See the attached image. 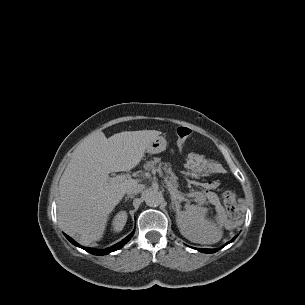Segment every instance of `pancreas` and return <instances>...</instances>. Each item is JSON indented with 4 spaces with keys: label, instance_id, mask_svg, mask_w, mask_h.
Instances as JSON below:
<instances>
[{
    "label": "pancreas",
    "instance_id": "obj_1",
    "mask_svg": "<svg viewBox=\"0 0 305 305\" xmlns=\"http://www.w3.org/2000/svg\"><path fill=\"white\" fill-rule=\"evenodd\" d=\"M144 169L147 170V171L163 170L165 172L166 176H167L166 178L168 179V182L171 185V189L174 192L177 193V188H178L177 177L174 174L170 163H164V162L161 161V158L155 157L153 160L147 161L144 164ZM192 194L195 197L194 200L197 203H199L200 205H203L206 202V198H207V193L206 192H204V191L193 192Z\"/></svg>",
    "mask_w": 305,
    "mask_h": 305
}]
</instances>
